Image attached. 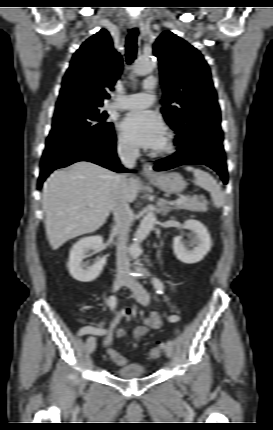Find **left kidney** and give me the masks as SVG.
I'll return each instance as SVG.
<instances>
[{
  "label": "left kidney",
  "mask_w": 273,
  "mask_h": 430,
  "mask_svg": "<svg viewBox=\"0 0 273 430\" xmlns=\"http://www.w3.org/2000/svg\"><path fill=\"white\" fill-rule=\"evenodd\" d=\"M184 228L193 232V240L185 242L182 236H176L173 241L174 253L177 259L183 263H198L211 249L212 241L210 234L206 226L198 220H186ZM189 247H193V249H189Z\"/></svg>",
  "instance_id": "obj_1"
}]
</instances>
